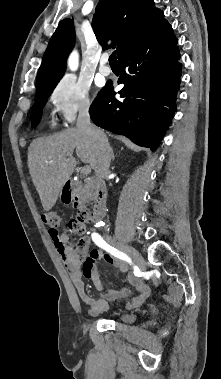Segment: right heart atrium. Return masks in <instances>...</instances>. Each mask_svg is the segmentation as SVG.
I'll return each instance as SVG.
<instances>
[{
    "label": "right heart atrium",
    "mask_w": 221,
    "mask_h": 379,
    "mask_svg": "<svg viewBox=\"0 0 221 379\" xmlns=\"http://www.w3.org/2000/svg\"><path fill=\"white\" fill-rule=\"evenodd\" d=\"M48 100L56 117L67 125L91 108L88 85L70 76L60 79L53 86Z\"/></svg>",
    "instance_id": "right-heart-atrium-1"
}]
</instances>
